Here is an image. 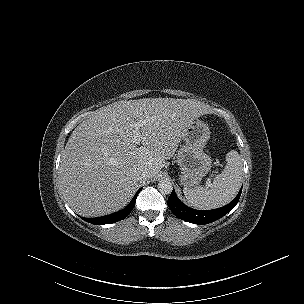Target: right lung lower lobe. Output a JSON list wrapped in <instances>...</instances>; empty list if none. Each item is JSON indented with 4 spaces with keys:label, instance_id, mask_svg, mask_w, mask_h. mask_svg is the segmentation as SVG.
<instances>
[{
    "label": "right lung lower lobe",
    "instance_id": "right-lung-lower-lobe-1",
    "mask_svg": "<svg viewBox=\"0 0 304 304\" xmlns=\"http://www.w3.org/2000/svg\"><path fill=\"white\" fill-rule=\"evenodd\" d=\"M140 191H141V189L138 190V192L135 194V196L133 197L131 202L124 209H122L119 212H116V213H113V214H110L107 216H103V217H97V218H83V217H81V218L83 220H85L86 222L96 224V225L111 224V223L123 220L130 214V212L134 208L136 198Z\"/></svg>",
    "mask_w": 304,
    "mask_h": 304
}]
</instances>
